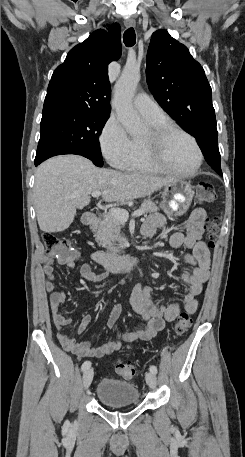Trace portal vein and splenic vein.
<instances>
[{
    "instance_id": "portal-vein-and-splenic-vein-1",
    "label": "portal vein and splenic vein",
    "mask_w": 245,
    "mask_h": 457,
    "mask_svg": "<svg viewBox=\"0 0 245 457\" xmlns=\"http://www.w3.org/2000/svg\"><path fill=\"white\" fill-rule=\"evenodd\" d=\"M91 194L92 196H100V194H104V192H100V190H93ZM109 212L112 216H116L118 220H121V222H127L129 218V212H127L125 208H110ZM141 214H143V210H134L132 216H141Z\"/></svg>"
}]
</instances>
